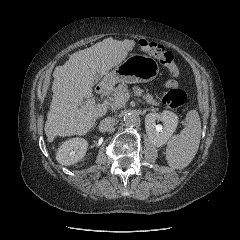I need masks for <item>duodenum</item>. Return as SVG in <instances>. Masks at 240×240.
I'll list each match as a JSON object with an SVG mask.
<instances>
[{"instance_id":"1","label":"duodenum","mask_w":240,"mask_h":240,"mask_svg":"<svg viewBox=\"0 0 240 240\" xmlns=\"http://www.w3.org/2000/svg\"><path fill=\"white\" fill-rule=\"evenodd\" d=\"M96 92L99 94V95H104L106 92H107V87L104 86V85H101L99 87L96 88Z\"/></svg>"}]
</instances>
